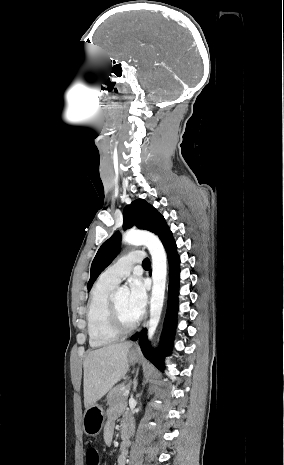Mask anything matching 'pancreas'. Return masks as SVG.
<instances>
[{
  "label": "pancreas",
  "mask_w": 284,
  "mask_h": 465,
  "mask_svg": "<svg viewBox=\"0 0 284 465\" xmlns=\"http://www.w3.org/2000/svg\"><path fill=\"white\" fill-rule=\"evenodd\" d=\"M130 389V383H121V385H117V387H113L111 391H109L107 395V405L112 407V405H116L118 401H122V399H127V397H123V393Z\"/></svg>",
  "instance_id": "obj_1"
}]
</instances>
